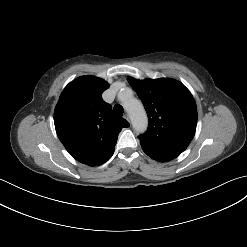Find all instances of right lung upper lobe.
Returning <instances> with one entry per match:
<instances>
[{"label":"right lung upper lobe","mask_w":247,"mask_h":247,"mask_svg":"<svg viewBox=\"0 0 247 247\" xmlns=\"http://www.w3.org/2000/svg\"><path fill=\"white\" fill-rule=\"evenodd\" d=\"M108 82L82 76L63 90L54 112L57 135L67 151L88 166L101 163L114 149L118 135L129 123L116 117L101 95Z\"/></svg>","instance_id":"obj_1"}]
</instances>
